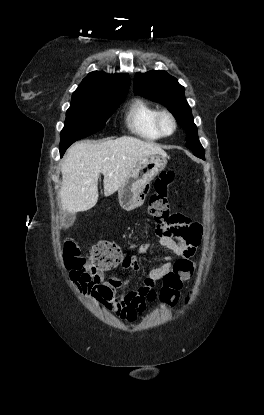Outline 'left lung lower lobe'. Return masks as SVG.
I'll return each instance as SVG.
<instances>
[{
	"mask_svg": "<svg viewBox=\"0 0 264 415\" xmlns=\"http://www.w3.org/2000/svg\"><path fill=\"white\" fill-rule=\"evenodd\" d=\"M195 156H197V157H199V158H201V159H205V157H204V153H201V154H194Z\"/></svg>",
	"mask_w": 264,
	"mask_h": 415,
	"instance_id": "1",
	"label": "left lung lower lobe"
}]
</instances>
